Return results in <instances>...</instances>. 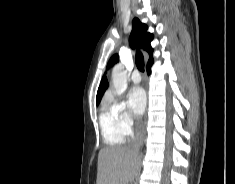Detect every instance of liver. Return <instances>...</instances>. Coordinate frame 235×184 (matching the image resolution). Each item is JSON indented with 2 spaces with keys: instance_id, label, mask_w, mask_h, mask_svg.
I'll list each match as a JSON object with an SVG mask.
<instances>
[{
  "instance_id": "obj_1",
  "label": "liver",
  "mask_w": 235,
  "mask_h": 184,
  "mask_svg": "<svg viewBox=\"0 0 235 184\" xmlns=\"http://www.w3.org/2000/svg\"><path fill=\"white\" fill-rule=\"evenodd\" d=\"M138 156L130 146L103 148L98 156L97 184H128L138 170Z\"/></svg>"
}]
</instances>
